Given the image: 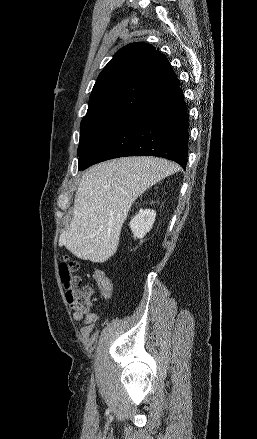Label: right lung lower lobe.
Instances as JSON below:
<instances>
[{
  "label": "right lung lower lobe",
  "mask_w": 257,
  "mask_h": 439,
  "mask_svg": "<svg viewBox=\"0 0 257 439\" xmlns=\"http://www.w3.org/2000/svg\"><path fill=\"white\" fill-rule=\"evenodd\" d=\"M187 143V108L178 86L122 121L81 170L108 159L141 155L163 157L185 168Z\"/></svg>",
  "instance_id": "1"
}]
</instances>
